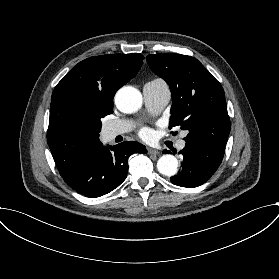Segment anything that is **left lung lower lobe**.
Returning a JSON list of instances; mask_svg holds the SVG:
<instances>
[{
	"label": "left lung lower lobe",
	"instance_id": "0a47b994",
	"mask_svg": "<svg viewBox=\"0 0 279 279\" xmlns=\"http://www.w3.org/2000/svg\"><path fill=\"white\" fill-rule=\"evenodd\" d=\"M164 152H167L165 150ZM225 147L207 141H188L180 150L182 170L171 177L174 185L197 187L205 183L222 162Z\"/></svg>",
	"mask_w": 279,
	"mask_h": 279
}]
</instances>
